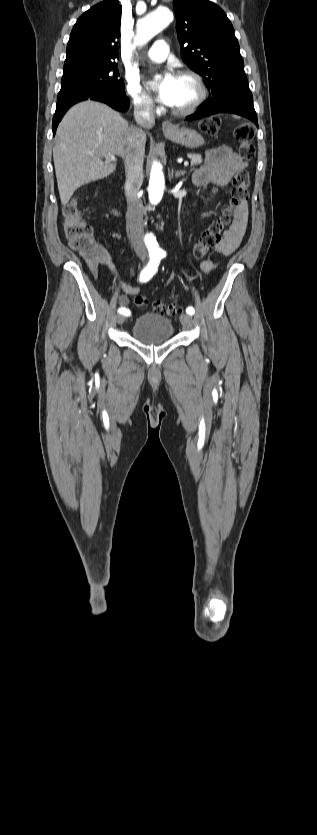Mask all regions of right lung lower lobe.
<instances>
[{"label": "right lung lower lobe", "instance_id": "1", "mask_svg": "<svg viewBox=\"0 0 317 835\" xmlns=\"http://www.w3.org/2000/svg\"><path fill=\"white\" fill-rule=\"evenodd\" d=\"M84 100L100 101L121 112L127 111L129 107V100L125 96V93H120L108 89L96 90L71 96L69 98L57 102L56 111L53 117L52 124L53 135H55L57 126L64 114L66 113V111L72 105Z\"/></svg>", "mask_w": 317, "mask_h": 835}]
</instances>
